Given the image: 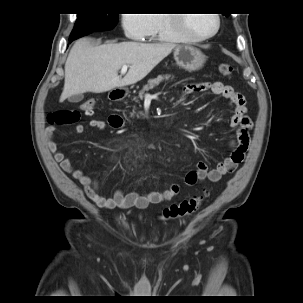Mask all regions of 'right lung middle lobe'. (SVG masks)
<instances>
[{
    "mask_svg": "<svg viewBox=\"0 0 303 303\" xmlns=\"http://www.w3.org/2000/svg\"><path fill=\"white\" fill-rule=\"evenodd\" d=\"M118 13H84L77 16L70 38H79L99 30L113 29L118 21Z\"/></svg>",
    "mask_w": 303,
    "mask_h": 303,
    "instance_id": "dd1d6c3e",
    "label": "right lung middle lobe"
}]
</instances>
